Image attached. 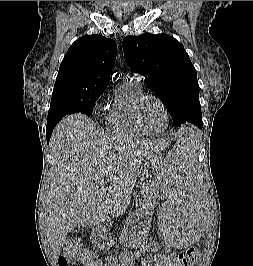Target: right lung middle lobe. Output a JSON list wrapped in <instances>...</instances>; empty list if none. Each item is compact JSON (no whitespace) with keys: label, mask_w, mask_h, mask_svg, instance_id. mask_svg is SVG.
I'll return each instance as SVG.
<instances>
[{"label":"right lung middle lobe","mask_w":253,"mask_h":266,"mask_svg":"<svg viewBox=\"0 0 253 266\" xmlns=\"http://www.w3.org/2000/svg\"><path fill=\"white\" fill-rule=\"evenodd\" d=\"M101 93L102 91L78 97L68 96L52 98L48 111L47 123L58 122L64 116L72 113L80 112L90 116L92 114L94 104Z\"/></svg>","instance_id":"1"}]
</instances>
